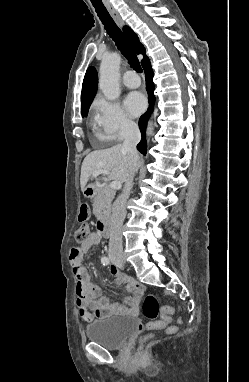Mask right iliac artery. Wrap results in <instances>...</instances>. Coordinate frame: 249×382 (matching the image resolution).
Here are the masks:
<instances>
[{
	"instance_id": "1",
	"label": "right iliac artery",
	"mask_w": 249,
	"mask_h": 382,
	"mask_svg": "<svg viewBox=\"0 0 249 382\" xmlns=\"http://www.w3.org/2000/svg\"><path fill=\"white\" fill-rule=\"evenodd\" d=\"M101 262H102L103 265H108L110 261H109V258H107V257H103V258L101 259Z\"/></svg>"
}]
</instances>
